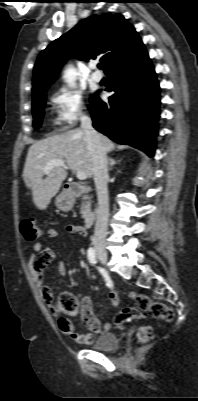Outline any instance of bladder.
Here are the masks:
<instances>
[{
    "mask_svg": "<svg viewBox=\"0 0 198 401\" xmlns=\"http://www.w3.org/2000/svg\"><path fill=\"white\" fill-rule=\"evenodd\" d=\"M117 347L118 337L113 333L100 334L92 344V348L104 351H113Z\"/></svg>",
    "mask_w": 198,
    "mask_h": 401,
    "instance_id": "31cf9c89",
    "label": "bladder"
}]
</instances>
